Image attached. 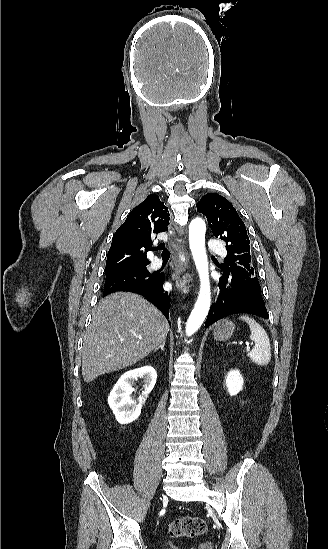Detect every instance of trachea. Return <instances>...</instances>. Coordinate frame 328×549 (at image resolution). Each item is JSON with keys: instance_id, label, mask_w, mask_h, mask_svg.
<instances>
[{"instance_id": "1", "label": "trachea", "mask_w": 328, "mask_h": 549, "mask_svg": "<svg viewBox=\"0 0 328 549\" xmlns=\"http://www.w3.org/2000/svg\"><path fill=\"white\" fill-rule=\"evenodd\" d=\"M154 249H155V248H154ZM157 249H159V250H162V251H163V252H162V255H170V252H169V250H167V249H166V247H165V244H164V243H162V244H159V245L157 246Z\"/></svg>"}]
</instances>
